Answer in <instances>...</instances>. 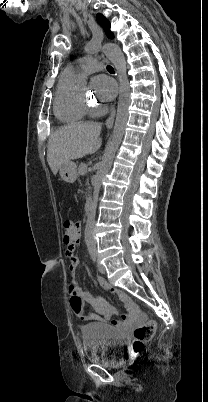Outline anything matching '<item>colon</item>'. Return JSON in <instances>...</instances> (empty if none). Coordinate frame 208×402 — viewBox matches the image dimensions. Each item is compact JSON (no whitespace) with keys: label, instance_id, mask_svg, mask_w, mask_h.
<instances>
[{"label":"colon","instance_id":"obj_1","mask_svg":"<svg viewBox=\"0 0 208 402\" xmlns=\"http://www.w3.org/2000/svg\"><path fill=\"white\" fill-rule=\"evenodd\" d=\"M76 223L77 222L74 220L70 219L64 220L62 224V233L65 245H69L71 241L75 239ZM70 303L72 310L76 315H83L85 313L83 311V308L85 306L81 297L77 295L72 296L70 299ZM155 331L156 326L152 320H149L148 323L146 324H140V326L136 328L134 332L135 341L133 344V350L136 354L142 352L144 342L149 341L153 337Z\"/></svg>","mask_w":208,"mask_h":402}]
</instances>
